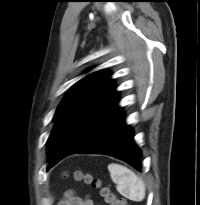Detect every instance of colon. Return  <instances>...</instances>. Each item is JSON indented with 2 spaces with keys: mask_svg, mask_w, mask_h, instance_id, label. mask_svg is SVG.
Here are the masks:
<instances>
[{
  "mask_svg": "<svg viewBox=\"0 0 200 205\" xmlns=\"http://www.w3.org/2000/svg\"><path fill=\"white\" fill-rule=\"evenodd\" d=\"M75 178L76 180L83 181L95 188H99L100 194L107 205H127L124 199L119 198L110 187L103 186L101 180L92 174L83 171H76Z\"/></svg>",
  "mask_w": 200,
  "mask_h": 205,
  "instance_id": "colon-1",
  "label": "colon"
}]
</instances>
